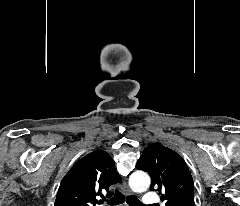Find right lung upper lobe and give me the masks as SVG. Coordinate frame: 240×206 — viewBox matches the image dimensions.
I'll use <instances>...</instances> for the list:
<instances>
[{"label":"right lung upper lobe","mask_w":240,"mask_h":206,"mask_svg":"<svg viewBox=\"0 0 240 206\" xmlns=\"http://www.w3.org/2000/svg\"><path fill=\"white\" fill-rule=\"evenodd\" d=\"M121 181L114 160L103 150H95L79 161L63 178L54 206H95L97 196Z\"/></svg>","instance_id":"cb5924a9"}]
</instances>
